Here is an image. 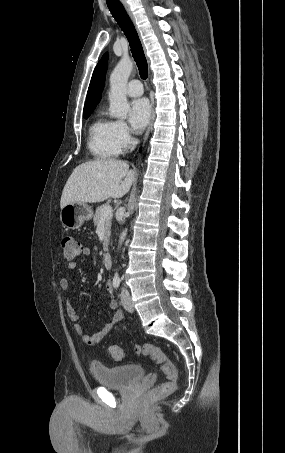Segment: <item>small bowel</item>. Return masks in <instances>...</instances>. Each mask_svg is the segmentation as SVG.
<instances>
[{
  "label": "small bowel",
  "mask_w": 285,
  "mask_h": 453,
  "mask_svg": "<svg viewBox=\"0 0 285 453\" xmlns=\"http://www.w3.org/2000/svg\"><path fill=\"white\" fill-rule=\"evenodd\" d=\"M80 253L84 256H88L91 253V250L89 247H82L80 250ZM76 268V263L75 262H70L68 264V269L69 270H74ZM60 288L62 290H68L70 287V281L67 278H62L59 282ZM107 289L111 293L112 291V285L110 282L107 283ZM109 307L113 310L117 309V302L116 300L110 295V301H109ZM66 311L68 314V317L72 322H74V329L76 333L79 335L81 340L85 342L88 345H95L99 342H101L112 330L113 326L120 322L123 319V312L120 310H116L115 313L113 314L111 320L106 323L103 328L98 331L95 334H89L86 332L81 324H79L80 320V315L77 309L74 307V305L71 303L70 300H67L66 303Z\"/></svg>",
  "instance_id": "1"
}]
</instances>
